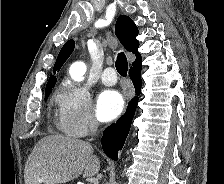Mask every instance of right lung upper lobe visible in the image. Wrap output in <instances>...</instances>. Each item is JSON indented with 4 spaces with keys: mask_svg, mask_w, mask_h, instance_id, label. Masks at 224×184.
I'll return each instance as SVG.
<instances>
[{
    "mask_svg": "<svg viewBox=\"0 0 224 184\" xmlns=\"http://www.w3.org/2000/svg\"><path fill=\"white\" fill-rule=\"evenodd\" d=\"M115 34L118 37L121 44L124 46L126 50L132 52L136 56V60L132 63L133 67H137L141 65V54L138 52L139 41L136 39L138 35V28L135 23L126 15H121L116 22L115 25ZM75 42L73 40L67 41L62 47L56 63L54 65V73L55 71H59L64 62L71 55L74 50ZM56 76L51 75L46 90L52 89L56 83ZM45 90V91H46Z\"/></svg>",
    "mask_w": 224,
    "mask_h": 184,
    "instance_id": "right-lung-upper-lobe-1",
    "label": "right lung upper lobe"
}]
</instances>
